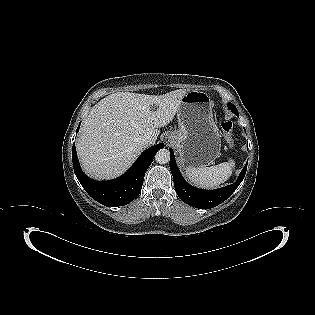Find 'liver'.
Listing matches in <instances>:
<instances>
[{
	"label": "liver",
	"mask_w": 315,
	"mask_h": 315,
	"mask_svg": "<svg viewBox=\"0 0 315 315\" xmlns=\"http://www.w3.org/2000/svg\"><path fill=\"white\" fill-rule=\"evenodd\" d=\"M188 91L163 95L117 92L94 105L76 144L84 172L95 179L123 174L146 149L142 137L150 135L156 141L158 128L173 120Z\"/></svg>",
	"instance_id": "6515ba94"
}]
</instances>
